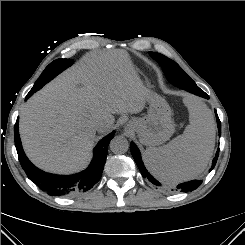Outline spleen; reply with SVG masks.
<instances>
[{"mask_svg": "<svg viewBox=\"0 0 245 245\" xmlns=\"http://www.w3.org/2000/svg\"><path fill=\"white\" fill-rule=\"evenodd\" d=\"M190 124L183 134L161 147L145 150L150 171L162 182L177 184L198 177L214 149L215 123L212 112L200 100H187Z\"/></svg>", "mask_w": 245, "mask_h": 245, "instance_id": "obj_1", "label": "spleen"}]
</instances>
